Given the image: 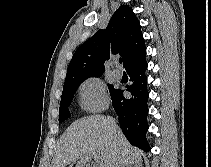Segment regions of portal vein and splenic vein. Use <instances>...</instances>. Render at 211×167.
Here are the masks:
<instances>
[{
  "label": "portal vein and splenic vein",
  "instance_id": "obj_1",
  "mask_svg": "<svg viewBox=\"0 0 211 167\" xmlns=\"http://www.w3.org/2000/svg\"><path fill=\"white\" fill-rule=\"evenodd\" d=\"M93 158H94V160L97 162V167H104L103 166V162H102V159H101V157L99 156V155H97V154H93Z\"/></svg>",
  "mask_w": 211,
  "mask_h": 167
}]
</instances>
